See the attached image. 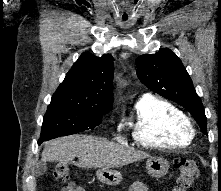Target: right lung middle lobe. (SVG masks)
Returning <instances> with one entry per match:
<instances>
[{
    "label": "right lung middle lobe",
    "instance_id": "dd1d6c3e",
    "mask_svg": "<svg viewBox=\"0 0 221 191\" xmlns=\"http://www.w3.org/2000/svg\"><path fill=\"white\" fill-rule=\"evenodd\" d=\"M109 111L91 107L61 105L48 106L43 118L40 142L76 134L88 129H94L100 124L104 114Z\"/></svg>",
    "mask_w": 221,
    "mask_h": 191
}]
</instances>
